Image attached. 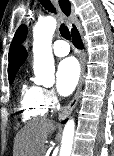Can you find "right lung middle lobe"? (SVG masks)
<instances>
[{
    "mask_svg": "<svg viewBox=\"0 0 114 156\" xmlns=\"http://www.w3.org/2000/svg\"><path fill=\"white\" fill-rule=\"evenodd\" d=\"M15 76L9 77V83L12 84V82L14 81Z\"/></svg>",
    "mask_w": 114,
    "mask_h": 156,
    "instance_id": "right-lung-middle-lobe-1",
    "label": "right lung middle lobe"
}]
</instances>
